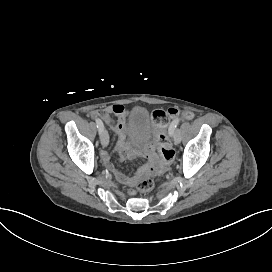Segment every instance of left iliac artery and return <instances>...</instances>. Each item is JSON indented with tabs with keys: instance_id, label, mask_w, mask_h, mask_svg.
I'll return each instance as SVG.
<instances>
[{
	"instance_id": "44dca946",
	"label": "left iliac artery",
	"mask_w": 272,
	"mask_h": 272,
	"mask_svg": "<svg viewBox=\"0 0 272 272\" xmlns=\"http://www.w3.org/2000/svg\"><path fill=\"white\" fill-rule=\"evenodd\" d=\"M178 123H179V119L174 120V121L170 124L169 129H168V132H169L170 135H172V134L174 133V131H175V129H176Z\"/></svg>"
}]
</instances>
